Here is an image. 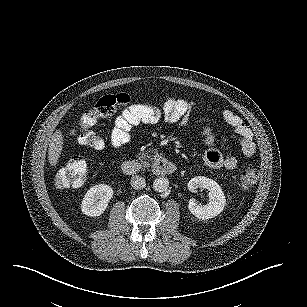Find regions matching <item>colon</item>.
<instances>
[{
	"mask_svg": "<svg viewBox=\"0 0 307 307\" xmlns=\"http://www.w3.org/2000/svg\"><path fill=\"white\" fill-rule=\"evenodd\" d=\"M131 102L128 94L120 93L107 95L100 98L90 109L86 110L80 119L83 132L80 136V143L84 146L102 149L105 146L103 137L92 131L99 118L111 116L118 109L126 107ZM87 163L82 158L71 159L55 175V183L61 189H71L80 187L86 180ZM259 173L254 166H247L241 171L239 182L242 188H253L258 181Z\"/></svg>",
	"mask_w": 307,
	"mask_h": 307,
	"instance_id": "colon-1",
	"label": "colon"
}]
</instances>
